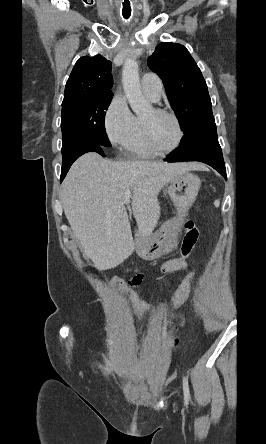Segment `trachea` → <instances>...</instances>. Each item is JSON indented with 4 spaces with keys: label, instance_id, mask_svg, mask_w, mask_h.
Masks as SVG:
<instances>
[{
    "label": "trachea",
    "instance_id": "1",
    "mask_svg": "<svg viewBox=\"0 0 266 444\" xmlns=\"http://www.w3.org/2000/svg\"><path fill=\"white\" fill-rule=\"evenodd\" d=\"M123 5H124L123 11H122L123 17L125 19H128L130 17V15H131L130 3L129 2H127V3L125 2Z\"/></svg>",
    "mask_w": 266,
    "mask_h": 444
}]
</instances>
